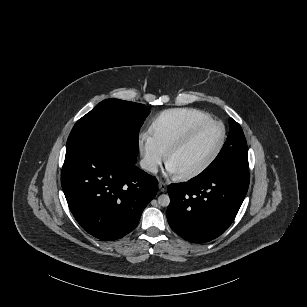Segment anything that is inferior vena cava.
Masks as SVG:
<instances>
[{
    "instance_id": "1",
    "label": "inferior vena cava",
    "mask_w": 307,
    "mask_h": 307,
    "mask_svg": "<svg viewBox=\"0 0 307 307\" xmlns=\"http://www.w3.org/2000/svg\"><path fill=\"white\" fill-rule=\"evenodd\" d=\"M140 166L141 168L147 170V171H150L152 173H157L158 171V166L155 162H152L148 159H142L140 161Z\"/></svg>"
}]
</instances>
